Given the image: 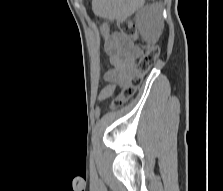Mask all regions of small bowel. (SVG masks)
<instances>
[{
  "mask_svg": "<svg viewBox=\"0 0 223 191\" xmlns=\"http://www.w3.org/2000/svg\"><path fill=\"white\" fill-rule=\"evenodd\" d=\"M106 51L112 68L105 72V80L109 84L102 89L100 100L110 97L117 87L127 85L142 56V51L120 32H113L107 38Z\"/></svg>",
  "mask_w": 223,
  "mask_h": 191,
  "instance_id": "small-bowel-1",
  "label": "small bowel"
}]
</instances>
